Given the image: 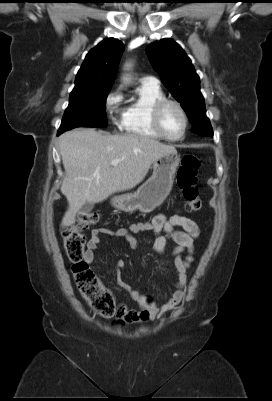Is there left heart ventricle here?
Here are the masks:
<instances>
[{
    "instance_id": "b2bd125f",
    "label": "left heart ventricle",
    "mask_w": 272,
    "mask_h": 401,
    "mask_svg": "<svg viewBox=\"0 0 272 401\" xmlns=\"http://www.w3.org/2000/svg\"><path fill=\"white\" fill-rule=\"evenodd\" d=\"M162 125L170 137L177 138L182 134L184 122L181 113L175 106L170 105L164 110Z\"/></svg>"
}]
</instances>
